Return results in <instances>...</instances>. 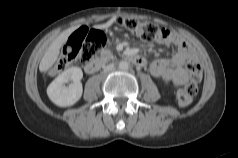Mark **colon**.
Masks as SVG:
<instances>
[{
    "label": "colon",
    "mask_w": 238,
    "mask_h": 158,
    "mask_svg": "<svg viewBox=\"0 0 238 158\" xmlns=\"http://www.w3.org/2000/svg\"><path fill=\"white\" fill-rule=\"evenodd\" d=\"M118 24L132 35L142 41L152 42L168 36L169 31L150 22L139 21L132 18L118 19ZM105 36L97 30L79 28L68 38L62 48L61 54L49 70V75H54L73 62L87 63L94 54L104 45ZM186 68L191 76V81L180 88L176 93V101L179 106H188L198 92V84L202 78V66L198 59L191 57Z\"/></svg>",
    "instance_id": "5ec220e1"
}]
</instances>
